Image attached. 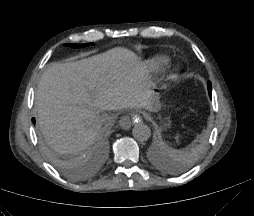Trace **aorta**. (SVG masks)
I'll list each match as a JSON object with an SVG mask.
<instances>
[{
    "mask_svg": "<svg viewBox=\"0 0 254 216\" xmlns=\"http://www.w3.org/2000/svg\"><path fill=\"white\" fill-rule=\"evenodd\" d=\"M134 138L138 141H147L151 136L150 128L144 123H136L132 129Z\"/></svg>",
    "mask_w": 254,
    "mask_h": 216,
    "instance_id": "762f6f07",
    "label": "aorta"
}]
</instances>
